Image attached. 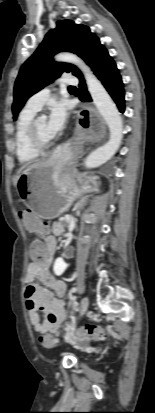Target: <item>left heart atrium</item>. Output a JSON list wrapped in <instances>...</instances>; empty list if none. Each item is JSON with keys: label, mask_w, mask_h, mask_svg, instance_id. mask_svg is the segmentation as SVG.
Masks as SVG:
<instances>
[{"label": "left heart atrium", "mask_w": 155, "mask_h": 413, "mask_svg": "<svg viewBox=\"0 0 155 413\" xmlns=\"http://www.w3.org/2000/svg\"><path fill=\"white\" fill-rule=\"evenodd\" d=\"M67 118L68 108L64 102L58 101L51 105L47 131L52 138L64 129Z\"/></svg>", "instance_id": "39dd6f15"}]
</instances>
